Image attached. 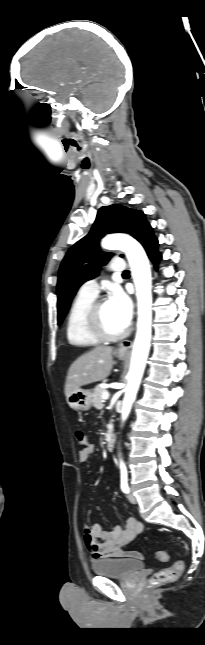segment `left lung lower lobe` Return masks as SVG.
Returning <instances> with one entry per match:
<instances>
[{"instance_id":"1","label":"left lung lower lobe","mask_w":205,"mask_h":645,"mask_svg":"<svg viewBox=\"0 0 205 645\" xmlns=\"http://www.w3.org/2000/svg\"><path fill=\"white\" fill-rule=\"evenodd\" d=\"M140 243L145 248L150 260L156 265L161 259V255L157 251L158 240L154 236L152 228H149Z\"/></svg>"}]
</instances>
